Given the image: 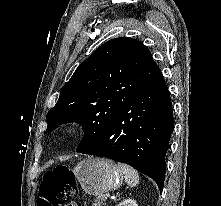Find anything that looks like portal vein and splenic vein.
I'll list each match as a JSON object with an SVG mask.
<instances>
[{"label": "portal vein and splenic vein", "instance_id": "portal-vein-and-splenic-vein-1", "mask_svg": "<svg viewBox=\"0 0 221 206\" xmlns=\"http://www.w3.org/2000/svg\"><path fill=\"white\" fill-rule=\"evenodd\" d=\"M105 197H106V198H109V197H110V194H106Z\"/></svg>", "mask_w": 221, "mask_h": 206}]
</instances>
